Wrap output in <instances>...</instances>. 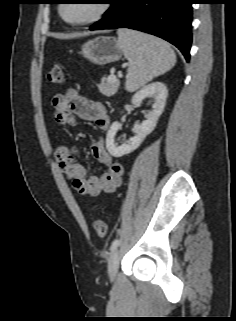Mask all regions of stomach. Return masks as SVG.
<instances>
[{"mask_svg":"<svg viewBox=\"0 0 236 321\" xmlns=\"http://www.w3.org/2000/svg\"><path fill=\"white\" fill-rule=\"evenodd\" d=\"M81 54L97 65H106L121 59L123 51L114 37L98 36L81 47Z\"/></svg>","mask_w":236,"mask_h":321,"instance_id":"stomach-1","label":"stomach"}]
</instances>
